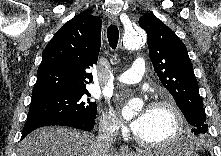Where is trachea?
Instances as JSON below:
<instances>
[{
    "mask_svg": "<svg viewBox=\"0 0 221 156\" xmlns=\"http://www.w3.org/2000/svg\"><path fill=\"white\" fill-rule=\"evenodd\" d=\"M107 37L112 49H116L119 40V31L116 25L111 24L107 30Z\"/></svg>",
    "mask_w": 221,
    "mask_h": 156,
    "instance_id": "trachea-1",
    "label": "trachea"
}]
</instances>
